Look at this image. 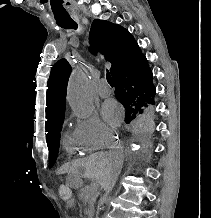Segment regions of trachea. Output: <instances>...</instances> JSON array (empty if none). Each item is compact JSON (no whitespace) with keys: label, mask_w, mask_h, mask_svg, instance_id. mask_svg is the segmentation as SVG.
Wrapping results in <instances>:
<instances>
[{"label":"trachea","mask_w":211,"mask_h":218,"mask_svg":"<svg viewBox=\"0 0 211 218\" xmlns=\"http://www.w3.org/2000/svg\"><path fill=\"white\" fill-rule=\"evenodd\" d=\"M65 28H70V29H72V30H76V29H77V25L69 26V27H65ZM106 79H107V82H108L109 84H113L111 75H110V73H109L108 70H107V73H106Z\"/></svg>","instance_id":"1"}]
</instances>
